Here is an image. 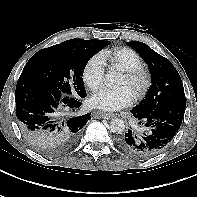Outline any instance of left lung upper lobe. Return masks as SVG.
Wrapping results in <instances>:
<instances>
[{"label":"left lung upper lobe","mask_w":197,"mask_h":197,"mask_svg":"<svg viewBox=\"0 0 197 197\" xmlns=\"http://www.w3.org/2000/svg\"><path fill=\"white\" fill-rule=\"evenodd\" d=\"M126 44L144 59L151 72L152 85L145 98L133 108L135 111L146 113L163 102L186 99L180 75L168 59L142 42L131 41Z\"/></svg>","instance_id":"left-lung-upper-lobe-1"}]
</instances>
